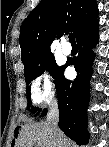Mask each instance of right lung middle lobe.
I'll use <instances>...</instances> for the list:
<instances>
[{
	"mask_svg": "<svg viewBox=\"0 0 109 147\" xmlns=\"http://www.w3.org/2000/svg\"><path fill=\"white\" fill-rule=\"evenodd\" d=\"M62 67H58L55 63L54 57L50 54L44 56L37 64L28 66L24 69V76L26 80V92H27V98H28V109H30L31 112H36V107H31V98H30V89H29V83L35 79L36 77L40 76L42 73L45 72V70H48L51 75L57 79L60 70ZM41 111L39 109L38 113Z\"/></svg>",
	"mask_w": 109,
	"mask_h": 147,
	"instance_id": "dd1d6c3e",
	"label": "right lung middle lobe"
}]
</instances>
